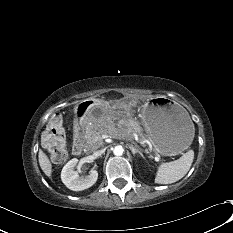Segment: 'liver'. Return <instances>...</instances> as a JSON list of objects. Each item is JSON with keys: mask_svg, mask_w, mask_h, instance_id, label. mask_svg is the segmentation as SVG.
<instances>
[{"mask_svg": "<svg viewBox=\"0 0 233 233\" xmlns=\"http://www.w3.org/2000/svg\"><path fill=\"white\" fill-rule=\"evenodd\" d=\"M38 160H39V164H40L42 171L48 177H50L51 172H52V164H51L48 156L42 150H40L38 153Z\"/></svg>", "mask_w": 233, "mask_h": 233, "instance_id": "liver-1", "label": "liver"}]
</instances>
